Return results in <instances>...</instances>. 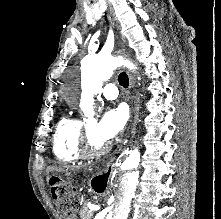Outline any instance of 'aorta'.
Here are the masks:
<instances>
[{
	"mask_svg": "<svg viewBox=\"0 0 221 219\" xmlns=\"http://www.w3.org/2000/svg\"><path fill=\"white\" fill-rule=\"evenodd\" d=\"M82 71L86 72L90 80V92L81 99L80 107L85 116L94 115L93 96L102 90V81L109 79L118 65V61L111 55H98L82 60ZM142 158L138 151H134L115 170L113 187L110 196L111 219H127L131 202L136 194L141 176Z\"/></svg>",
	"mask_w": 221,
	"mask_h": 219,
	"instance_id": "1",
	"label": "aorta"
}]
</instances>
